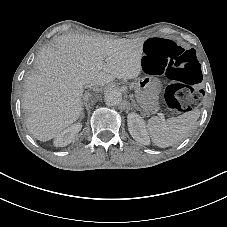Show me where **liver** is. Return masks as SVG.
<instances>
[{
	"label": "liver",
	"mask_w": 227,
	"mask_h": 227,
	"mask_svg": "<svg viewBox=\"0 0 227 227\" xmlns=\"http://www.w3.org/2000/svg\"><path fill=\"white\" fill-rule=\"evenodd\" d=\"M145 41L69 34L60 36L55 48H44L37 55L38 71L25 77L28 130L39 141L52 140L82 116V93L91 82L112 88L115 79H137Z\"/></svg>",
	"instance_id": "6515ba94"
}]
</instances>
